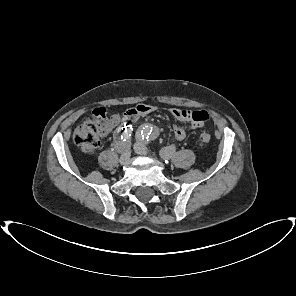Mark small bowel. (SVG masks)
<instances>
[{"mask_svg": "<svg viewBox=\"0 0 296 296\" xmlns=\"http://www.w3.org/2000/svg\"><path fill=\"white\" fill-rule=\"evenodd\" d=\"M154 110L151 105L148 104H139L133 108L128 109L123 117L118 114H113L108 119V131L112 130L115 126H117L121 120L126 122H134L139 118L148 115ZM172 114L179 121L190 122L194 129L201 128L204 126L205 122L208 119V113L204 110H186L174 108L172 110ZM107 131V132H108ZM173 132L177 140H184L187 136V130L183 125L177 124L173 127ZM175 151V146L173 144H169L163 147L162 155H168Z\"/></svg>", "mask_w": 296, "mask_h": 296, "instance_id": "obj_1", "label": "small bowel"}]
</instances>
